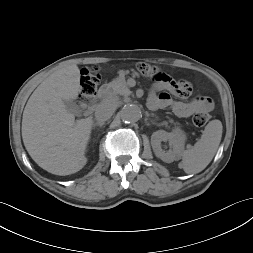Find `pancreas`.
<instances>
[{"label": "pancreas", "mask_w": 253, "mask_h": 253, "mask_svg": "<svg viewBox=\"0 0 253 253\" xmlns=\"http://www.w3.org/2000/svg\"><path fill=\"white\" fill-rule=\"evenodd\" d=\"M107 93L105 94V98L109 100H117L119 96H129L131 91L129 90L126 81L121 78H116L112 82L107 85ZM170 122H173L170 120Z\"/></svg>", "instance_id": "1"}]
</instances>
